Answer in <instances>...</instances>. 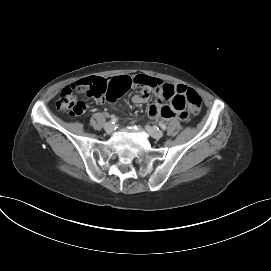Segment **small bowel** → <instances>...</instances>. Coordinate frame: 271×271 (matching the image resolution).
<instances>
[{"instance_id": "c3829d8e", "label": "small bowel", "mask_w": 271, "mask_h": 271, "mask_svg": "<svg viewBox=\"0 0 271 271\" xmlns=\"http://www.w3.org/2000/svg\"><path fill=\"white\" fill-rule=\"evenodd\" d=\"M82 83V92L92 96L99 103H103L105 99L110 103H117L122 99L123 94L131 93L137 86H140L141 90L132 97L133 103H146L150 99L151 93L157 97V101L148 107L150 117L167 120L174 118L186 120L188 118L184 108H178L173 103V98L177 93L187 90L184 85L165 83L149 75L135 76L132 73L107 79L89 77Z\"/></svg>"}]
</instances>
